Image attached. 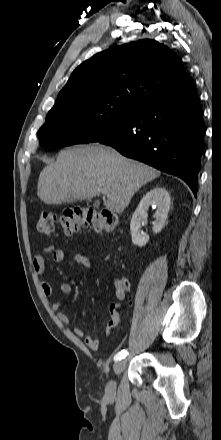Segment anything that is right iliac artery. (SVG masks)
Instances as JSON below:
<instances>
[{
  "label": "right iliac artery",
  "mask_w": 221,
  "mask_h": 440,
  "mask_svg": "<svg viewBox=\"0 0 221 440\" xmlns=\"http://www.w3.org/2000/svg\"><path fill=\"white\" fill-rule=\"evenodd\" d=\"M127 354L128 353L126 352V350H122L114 356V360L119 361L121 359H124L127 356Z\"/></svg>",
  "instance_id": "1"
}]
</instances>
